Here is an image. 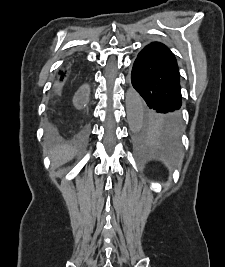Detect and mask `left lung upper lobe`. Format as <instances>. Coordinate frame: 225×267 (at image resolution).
<instances>
[{"instance_id": "5c2ea615", "label": "left lung upper lobe", "mask_w": 225, "mask_h": 267, "mask_svg": "<svg viewBox=\"0 0 225 267\" xmlns=\"http://www.w3.org/2000/svg\"><path fill=\"white\" fill-rule=\"evenodd\" d=\"M141 130L147 133L160 134L162 136L175 139L178 137L173 127L162 121L160 118H156L149 109L143 106Z\"/></svg>"}]
</instances>
